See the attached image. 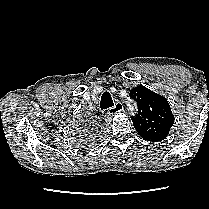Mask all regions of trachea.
Listing matches in <instances>:
<instances>
[{"mask_svg":"<svg viewBox=\"0 0 209 209\" xmlns=\"http://www.w3.org/2000/svg\"><path fill=\"white\" fill-rule=\"evenodd\" d=\"M114 103L109 92H104L101 96L100 108L102 110L113 107Z\"/></svg>","mask_w":209,"mask_h":209,"instance_id":"obj_1","label":"trachea"}]
</instances>
